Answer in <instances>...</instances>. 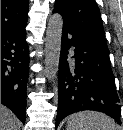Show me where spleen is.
<instances>
[{
  "instance_id": "obj_1",
  "label": "spleen",
  "mask_w": 123,
  "mask_h": 130,
  "mask_svg": "<svg viewBox=\"0 0 123 130\" xmlns=\"http://www.w3.org/2000/svg\"><path fill=\"white\" fill-rule=\"evenodd\" d=\"M67 130H116V125L104 113L84 111L68 116Z\"/></svg>"
}]
</instances>
